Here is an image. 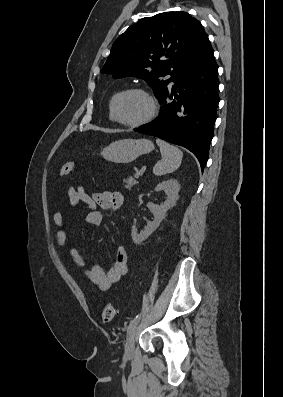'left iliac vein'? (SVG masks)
<instances>
[{
  "label": "left iliac vein",
  "mask_w": 283,
  "mask_h": 397,
  "mask_svg": "<svg viewBox=\"0 0 283 397\" xmlns=\"http://www.w3.org/2000/svg\"><path fill=\"white\" fill-rule=\"evenodd\" d=\"M139 320L137 321V323L130 326L128 329L127 340H126V344H125V357L126 358H131L134 354V336H135V333H136V330L138 327Z\"/></svg>",
  "instance_id": "4c4485c4"
}]
</instances>
